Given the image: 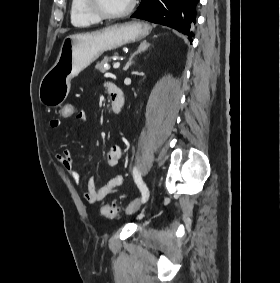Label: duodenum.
Masks as SVG:
<instances>
[{
  "label": "duodenum",
  "mask_w": 280,
  "mask_h": 283,
  "mask_svg": "<svg viewBox=\"0 0 280 283\" xmlns=\"http://www.w3.org/2000/svg\"><path fill=\"white\" fill-rule=\"evenodd\" d=\"M108 97L111 104V111L114 114H119L124 106V94L123 91L115 84L111 83L108 86Z\"/></svg>",
  "instance_id": "410a0bca"
}]
</instances>
